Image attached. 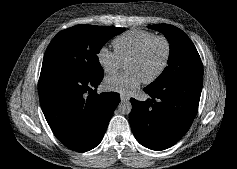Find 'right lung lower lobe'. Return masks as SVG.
<instances>
[{
    "label": "right lung lower lobe",
    "instance_id": "right-lung-lower-lobe-1",
    "mask_svg": "<svg viewBox=\"0 0 237 169\" xmlns=\"http://www.w3.org/2000/svg\"><path fill=\"white\" fill-rule=\"evenodd\" d=\"M102 79L41 71L39 99L45 118L57 139L74 151L85 152L101 142L120 102L116 92L93 90Z\"/></svg>",
    "mask_w": 237,
    "mask_h": 169
}]
</instances>
